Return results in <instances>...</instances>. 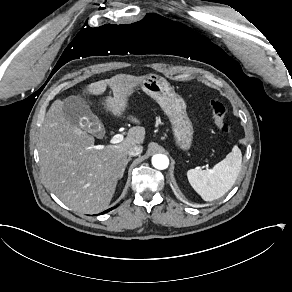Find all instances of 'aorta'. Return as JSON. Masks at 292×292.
<instances>
[{"label": "aorta", "instance_id": "aorta-1", "mask_svg": "<svg viewBox=\"0 0 292 292\" xmlns=\"http://www.w3.org/2000/svg\"><path fill=\"white\" fill-rule=\"evenodd\" d=\"M152 165L159 170L166 169L169 165V159L162 154H156L152 157Z\"/></svg>", "mask_w": 292, "mask_h": 292}]
</instances>
